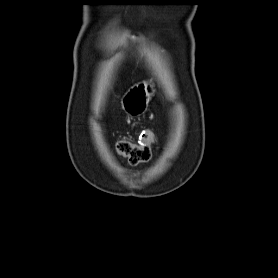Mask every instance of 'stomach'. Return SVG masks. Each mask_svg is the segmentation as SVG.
<instances>
[{
    "instance_id": "stomach-1",
    "label": "stomach",
    "mask_w": 278,
    "mask_h": 278,
    "mask_svg": "<svg viewBox=\"0 0 278 278\" xmlns=\"http://www.w3.org/2000/svg\"><path fill=\"white\" fill-rule=\"evenodd\" d=\"M153 94L152 84L138 83L124 94L121 101L122 109L130 117H138L146 112Z\"/></svg>"
}]
</instances>
